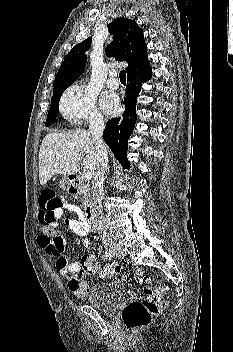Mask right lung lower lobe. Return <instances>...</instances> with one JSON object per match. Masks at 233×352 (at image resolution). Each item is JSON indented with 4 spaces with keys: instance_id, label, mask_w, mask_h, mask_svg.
<instances>
[{
    "instance_id": "obj_1",
    "label": "right lung lower lobe",
    "mask_w": 233,
    "mask_h": 352,
    "mask_svg": "<svg viewBox=\"0 0 233 352\" xmlns=\"http://www.w3.org/2000/svg\"><path fill=\"white\" fill-rule=\"evenodd\" d=\"M151 69L145 73L128 78L126 97L124 98L125 111L121 118L109 120L103 132V139L110 147L116 159L126 169H129V161L126 157L127 141L136 123L137 96L142 83L151 78Z\"/></svg>"
}]
</instances>
